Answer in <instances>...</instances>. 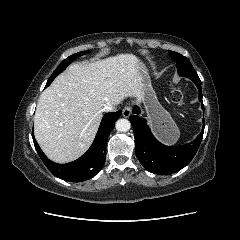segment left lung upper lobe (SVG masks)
Returning <instances> with one entry per match:
<instances>
[{"label": "left lung upper lobe", "mask_w": 240, "mask_h": 240, "mask_svg": "<svg viewBox=\"0 0 240 240\" xmlns=\"http://www.w3.org/2000/svg\"><path fill=\"white\" fill-rule=\"evenodd\" d=\"M169 55L171 56L172 60L176 62L177 71L180 76L190 79L198 78V75L195 72L192 64L185 56L173 51H169Z\"/></svg>", "instance_id": "obj_1"}]
</instances>
